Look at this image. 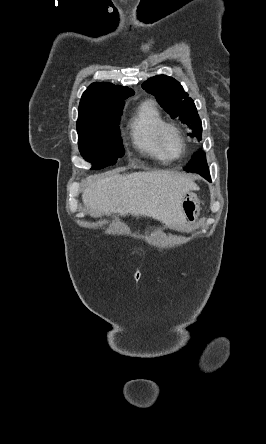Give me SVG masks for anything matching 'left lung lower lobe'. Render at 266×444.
<instances>
[{
  "instance_id": "1",
  "label": "left lung lower lobe",
  "mask_w": 266,
  "mask_h": 444,
  "mask_svg": "<svg viewBox=\"0 0 266 444\" xmlns=\"http://www.w3.org/2000/svg\"><path fill=\"white\" fill-rule=\"evenodd\" d=\"M185 171L196 172L210 181V173L206 163L204 152H200L193 156Z\"/></svg>"
}]
</instances>
